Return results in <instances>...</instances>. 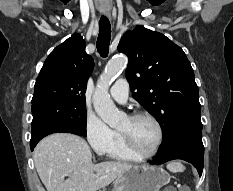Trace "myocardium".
<instances>
[{
  "mask_svg": "<svg viewBox=\"0 0 233 191\" xmlns=\"http://www.w3.org/2000/svg\"><path fill=\"white\" fill-rule=\"evenodd\" d=\"M129 119L132 121L139 120V119L150 120L156 126V129L158 132V139H157L155 148L149 153H144L138 149V147L134 144V142L132 141V139L130 138L128 134L120 131V135L122 136L127 148L132 153H134L135 155L139 156L142 159L151 158L154 155H156L162 145L163 137H164L163 128H162L161 123L158 121V119L154 117L153 115L149 113H145V112L134 114L131 117H129Z\"/></svg>",
  "mask_w": 233,
  "mask_h": 191,
  "instance_id": "f54148a6",
  "label": "myocardium"
}]
</instances>
